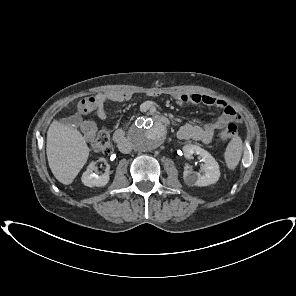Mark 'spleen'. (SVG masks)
Returning <instances> with one entry per match:
<instances>
[{"label":"spleen","instance_id":"spleen-1","mask_svg":"<svg viewBox=\"0 0 296 296\" xmlns=\"http://www.w3.org/2000/svg\"><path fill=\"white\" fill-rule=\"evenodd\" d=\"M242 150V139L236 134L233 135L224 153L225 162L229 169L234 170L236 168L240 161Z\"/></svg>","mask_w":296,"mask_h":296}]
</instances>
